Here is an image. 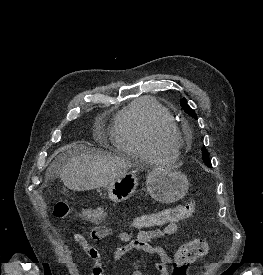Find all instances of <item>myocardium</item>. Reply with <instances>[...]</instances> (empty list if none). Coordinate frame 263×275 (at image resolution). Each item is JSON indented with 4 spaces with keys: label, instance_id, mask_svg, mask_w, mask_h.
Here are the masks:
<instances>
[{
    "label": "myocardium",
    "instance_id": "f54148a6",
    "mask_svg": "<svg viewBox=\"0 0 263 275\" xmlns=\"http://www.w3.org/2000/svg\"><path fill=\"white\" fill-rule=\"evenodd\" d=\"M154 139L163 146H173L178 149L181 134L177 126L158 127L153 132Z\"/></svg>",
    "mask_w": 263,
    "mask_h": 275
}]
</instances>
